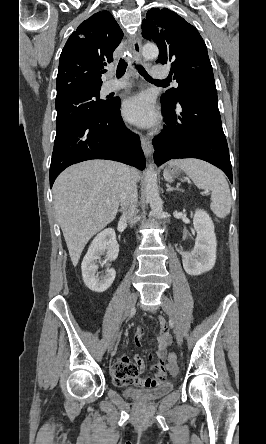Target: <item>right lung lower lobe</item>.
<instances>
[{"mask_svg": "<svg viewBox=\"0 0 266 444\" xmlns=\"http://www.w3.org/2000/svg\"><path fill=\"white\" fill-rule=\"evenodd\" d=\"M120 105V100L114 101L107 113L74 123L56 133L50 187L65 168L85 160L109 159L140 170L145 168L139 136L126 129Z\"/></svg>", "mask_w": 266, "mask_h": 444, "instance_id": "1", "label": "right lung lower lobe"}]
</instances>
